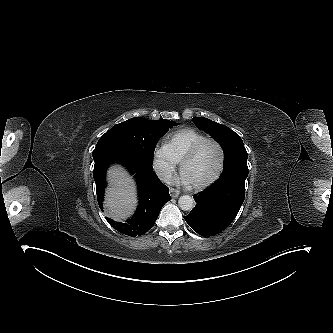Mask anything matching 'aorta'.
<instances>
[{
	"instance_id": "aorta-1",
	"label": "aorta",
	"mask_w": 333,
	"mask_h": 333,
	"mask_svg": "<svg viewBox=\"0 0 333 333\" xmlns=\"http://www.w3.org/2000/svg\"><path fill=\"white\" fill-rule=\"evenodd\" d=\"M178 205L183 211H190L194 207V199L189 195H183L179 198Z\"/></svg>"
}]
</instances>
